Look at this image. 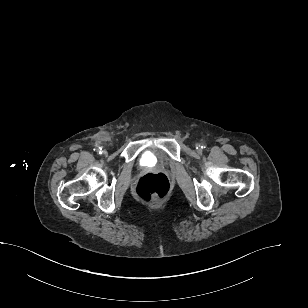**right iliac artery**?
Returning <instances> with one entry per match:
<instances>
[{"label": "right iliac artery", "instance_id": "right-iliac-artery-1", "mask_svg": "<svg viewBox=\"0 0 308 308\" xmlns=\"http://www.w3.org/2000/svg\"><path fill=\"white\" fill-rule=\"evenodd\" d=\"M97 152H98L99 154H102V152H103V151H102V148H101V147H98V148H97Z\"/></svg>", "mask_w": 308, "mask_h": 308}]
</instances>
